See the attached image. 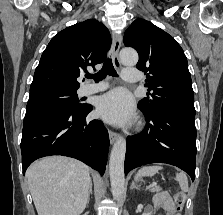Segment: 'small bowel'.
<instances>
[{"mask_svg": "<svg viewBox=\"0 0 223 215\" xmlns=\"http://www.w3.org/2000/svg\"><path fill=\"white\" fill-rule=\"evenodd\" d=\"M154 205L162 208L167 215L174 209V202L167 192L161 191L154 196Z\"/></svg>", "mask_w": 223, "mask_h": 215, "instance_id": "c3829d8e", "label": "small bowel"}]
</instances>
